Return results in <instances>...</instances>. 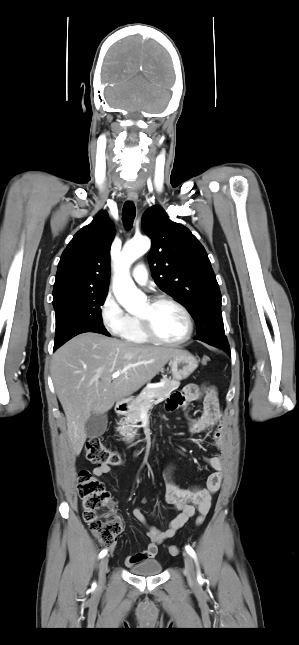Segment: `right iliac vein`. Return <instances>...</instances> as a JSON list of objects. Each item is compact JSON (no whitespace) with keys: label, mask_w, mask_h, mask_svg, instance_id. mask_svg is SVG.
<instances>
[{"label":"right iliac vein","mask_w":299,"mask_h":645,"mask_svg":"<svg viewBox=\"0 0 299 645\" xmlns=\"http://www.w3.org/2000/svg\"><path fill=\"white\" fill-rule=\"evenodd\" d=\"M108 562H109V558L107 556L103 557L100 561V564H99V585L100 586H103L105 583V579H106L105 575H106Z\"/></svg>","instance_id":"obj_1"}]
</instances>
